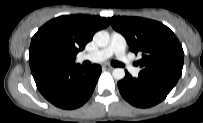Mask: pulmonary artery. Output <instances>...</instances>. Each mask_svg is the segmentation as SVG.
I'll use <instances>...</instances> for the list:
<instances>
[{"instance_id": "1", "label": "pulmonary artery", "mask_w": 203, "mask_h": 123, "mask_svg": "<svg viewBox=\"0 0 203 123\" xmlns=\"http://www.w3.org/2000/svg\"><path fill=\"white\" fill-rule=\"evenodd\" d=\"M126 42L124 37L118 33L113 32L111 34L110 43L93 53L85 54L81 57V60H88L91 62H102L110 58L112 55H115L119 61H121L129 72L136 76L140 72V68L136 67L130 58L126 54Z\"/></svg>"}]
</instances>
